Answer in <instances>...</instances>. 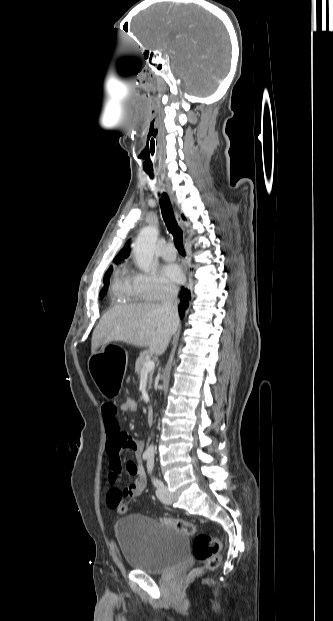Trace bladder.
<instances>
[{"label": "bladder", "mask_w": 333, "mask_h": 621, "mask_svg": "<svg viewBox=\"0 0 333 621\" xmlns=\"http://www.w3.org/2000/svg\"><path fill=\"white\" fill-rule=\"evenodd\" d=\"M115 534L126 564L151 575L170 572L185 560L189 538L160 520L134 514L119 519Z\"/></svg>", "instance_id": "bladder-1"}]
</instances>
